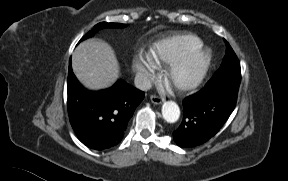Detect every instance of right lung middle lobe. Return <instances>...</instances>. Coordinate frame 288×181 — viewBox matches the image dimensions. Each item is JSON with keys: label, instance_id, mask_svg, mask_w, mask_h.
Wrapping results in <instances>:
<instances>
[{"label": "right lung middle lobe", "instance_id": "1", "mask_svg": "<svg viewBox=\"0 0 288 181\" xmlns=\"http://www.w3.org/2000/svg\"><path fill=\"white\" fill-rule=\"evenodd\" d=\"M125 26H126L125 24L102 22V23L95 25L93 27V29L91 31H89L85 36H83L80 41L93 36L98 30H100L102 28H108V27L120 28V27H125Z\"/></svg>", "mask_w": 288, "mask_h": 181}]
</instances>
